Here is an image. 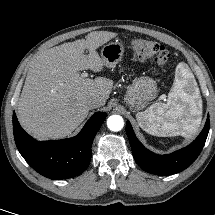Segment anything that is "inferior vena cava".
I'll return each mask as SVG.
<instances>
[{"label": "inferior vena cava", "instance_id": "1", "mask_svg": "<svg viewBox=\"0 0 215 215\" xmlns=\"http://www.w3.org/2000/svg\"><path fill=\"white\" fill-rule=\"evenodd\" d=\"M86 103L90 109L98 108L103 105L102 100L96 97L89 98Z\"/></svg>", "mask_w": 215, "mask_h": 215}]
</instances>
